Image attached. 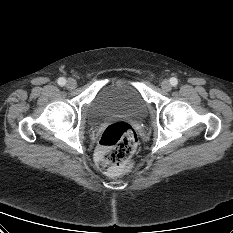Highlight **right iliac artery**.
I'll list each match as a JSON object with an SVG mask.
<instances>
[{"mask_svg":"<svg viewBox=\"0 0 233 233\" xmlns=\"http://www.w3.org/2000/svg\"><path fill=\"white\" fill-rule=\"evenodd\" d=\"M58 84H59L60 86H64V85L66 84V79H65L64 77H60V78L58 79Z\"/></svg>","mask_w":233,"mask_h":233,"instance_id":"obj_1","label":"right iliac artery"}]
</instances>
